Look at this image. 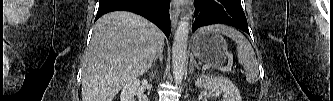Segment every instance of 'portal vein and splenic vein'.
Here are the masks:
<instances>
[{
  "instance_id": "1",
  "label": "portal vein and splenic vein",
  "mask_w": 333,
  "mask_h": 101,
  "mask_svg": "<svg viewBox=\"0 0 333 101\" xmlns=\"http://www.w3.org/2000/svg\"><path fill=\"white\" fill-rule=\"evenodd\" d=\"M232 67V59L229 57L228 65L226 67L221 68L222 71H230ZM204 69L209 68V65H204Z\"/></svg>"
}]
</instances>
